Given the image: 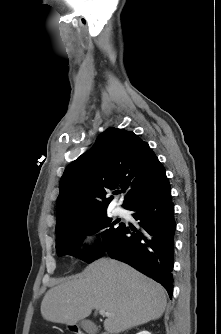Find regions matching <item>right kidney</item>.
Segmentation results:
<instances>
[{"mask_svg": "<svg viewBox=\"0 0 221 334\" xmlns=\"http://www.w3.org/2000/svg\"><path fill=\"white\" fill-rule=\"evenodd\" d=\"M137 334H151L150 332H148V331H141V332H139V333H137Z\"/></svg>", "mask_w": 221, "mask_h": 334, "instance_id": "right-kidney-1", "label": "right kidney"}]
</instances>
